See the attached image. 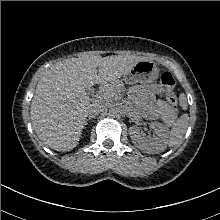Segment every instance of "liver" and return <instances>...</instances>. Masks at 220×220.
Wrapping results in <instances>:
<instances>
[{
  "label": "liver",
  "mask_w": 220,
  "mask_h": 220,
  "mask_svg": "<svg viewBox=\"0 0 220 220\" xmlns=\"http://www.w3.org/2000/svg\"><path fill=\"white\" fill-rule=\"evenodd\" d=\"M143 57L83 55L53 65L39 80L30 109L33 128L48 147L61 152L77 146L91 103L86 90L99 84V94L118 92L119 79Z\"/></svg>",
  "instance_id": "liver-1"
}]
</instances>
